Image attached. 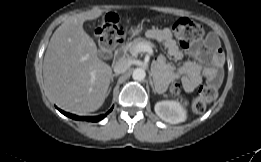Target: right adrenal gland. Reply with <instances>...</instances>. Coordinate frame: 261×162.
<instances>
[{
    "instance_id": "2a0ac1e0",
    "label": "right adrenal gland",
    "mask_w": 261,
    "mask_h": 162,
    "mask_svg": "<svg viewBox=\"0 0 261 162\" xmlns=\"http://www.w3.org/2000/svg\"><path fill=\"white\" fill-rule=\"evenodd\" d=\"M118 75H119V74H117V73H115V74H112V76H111V83L113 82V80H114V77H117ZM111 89H112V86H110V88H109V90H108V92H107V96L109 95V93H110Z\"/></svg>"
}]
</instances>
